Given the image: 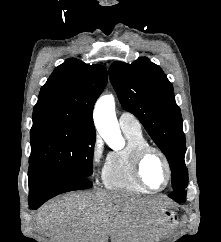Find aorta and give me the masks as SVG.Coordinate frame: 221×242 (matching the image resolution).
<instances>
[{
    "label": "aorta",
    "mask_w": 221,
    "mask_h": 242,
    "mask_svg": "<svg viewBox=\"0 0 221 242\" xmlns=\"http://www.w3.org/2000/svg\"><path fill=\"white\" fill-rule=\"evenodd\" d=\"M94 122L97 131L105 140L121 138L112 95H103L98 99L94 109Z\"/></svg>",
    "instance_id": "aorta-1"
}]
</instances>
